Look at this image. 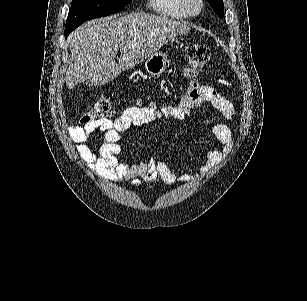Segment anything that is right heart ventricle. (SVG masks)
Wrapping results in <instances>:
<instances>
[{
  "mask_svg": "<svg viewBox=\"0 0 307 301\" xmlns=\"http://www.w3.org/2000/svg\"><path fill=\"white\" fill-rule=\"evenodd\" d=\"M153 12H157L159 17H183L184 11L179 10V0H151Z\"/></svg>",
  "mask_w": 307,
  "mask_h": 301,
  "instance_id": "1",
  "label": "right heart ventricle"
}]
</instances>
